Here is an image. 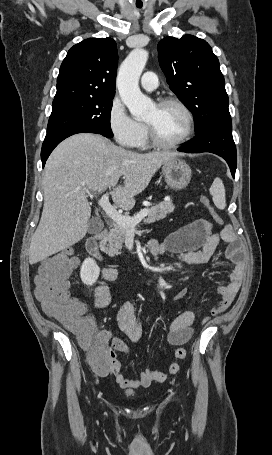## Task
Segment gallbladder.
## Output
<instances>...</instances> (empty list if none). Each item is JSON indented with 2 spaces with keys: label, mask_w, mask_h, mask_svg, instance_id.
Returning <instances> with one entry per match:
<instances>
[{
  "label": "gallbladder",
  "mask_w": 272,
  "mask_h": 455,
  "mask_svg": "<svg viewBox=\"0 0 272 455\" xmlns=\"http://www.w3.org/2000/svg\"><path fill=\"white\" fill-rule=\"evenodd\" d=\"M103 229V223L99 218H92L88 224V232L90 234H97Z\"/></svg>",
  "instance_id": "1"
}]
</instances>
